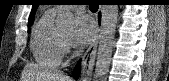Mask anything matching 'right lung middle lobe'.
Masks as SVG:
<instances>
[{
    "instance_id": "obj_1",
    "label": "right lung middle lobe",
    "mask_w": 169,
    "mask_h": 81,
    "mask_svg": "<svg viewBox=\"0 0 169 81\" xmlns=\"http://www.w3.org/2000/svg\"><path fill=\"white\" fill-rule=\"evenodd\" d=\"M33 24V22L28 23V26L30 27Z\"/></svg>"
}]
</instances>
